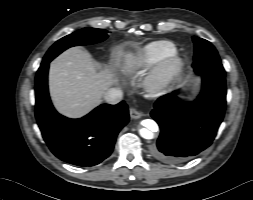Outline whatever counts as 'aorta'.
I'll return each mask as SVG.
<instances>
[{
	"instance_id": "1",
	"label": "aorta",
	"mask_w": 253,
	"mask_h": 200,
	"mask_svg": "<svg viewBox=\"0 0 253 200\" xmlns=\"http://www.w3.org/2000/svg\"><path fill=\"white\" fill-rule=\"evenodd\" d=\"M143 128L139 129V134L144 139H152L153 138V132H156L158 129L157 124L150 119L144 120L142 122Z\"/></svg>"
}]
</instances>
